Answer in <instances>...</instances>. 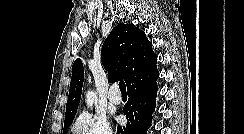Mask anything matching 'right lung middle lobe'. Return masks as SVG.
I'll return each mask as SVG.
<instances>
[{
	"mask_svg": "<svg viewBox=\"0 0 244 134\" xmlns=\"http://www.w3.org/2000/svg\"><path fill=\"white\" fill-rule=\"evenodd\" d=\"M75 116H71V117H66L65 121H64V130H63V134H66L68 131L69 126L72 123V120L74 119Z\"/></svg>",
	"mask_w": 244,
	"mask_h": 134,
	"instance_id": "obj_1",
	"label": "right lung middle lobe"
}]
</instances>
